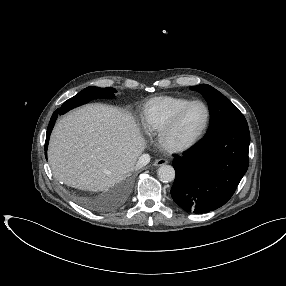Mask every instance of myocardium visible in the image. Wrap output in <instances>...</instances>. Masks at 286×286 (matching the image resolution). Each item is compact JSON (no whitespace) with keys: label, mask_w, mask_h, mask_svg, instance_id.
<instances>
[{"label":"myocardium","mask_w":286,"mask_h":286,"mask_svg":"<svg viewBox=\"0 0 286 286\" xmlns=\"http://www.w3.org/2000/svg\"><path fill=\"white\" fill-rule=\"evenodd\" d=\"M195 104H201L206 110V122L202 131L190 142L183 145H173L169 142L168 137L170 133L178 125L187 110ZM211 123V111L209 106L201 100H192L184 107H182L173 118L160 130L158 134V142L162 149L169 153H183L195 147L206 135Z\"/></svg>","instance_id":"f54148a6"}]
</instances>
